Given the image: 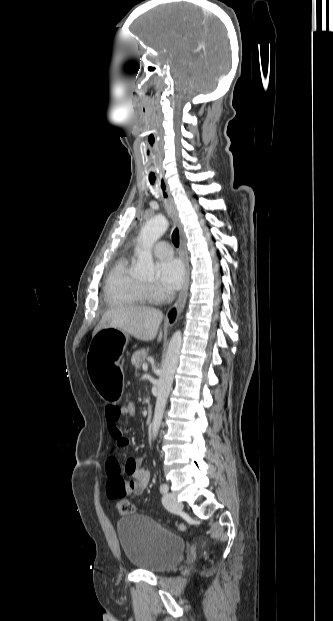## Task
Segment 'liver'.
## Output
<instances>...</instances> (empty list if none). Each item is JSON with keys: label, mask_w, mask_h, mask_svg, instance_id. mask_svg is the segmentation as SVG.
Returning a JSON list of instances; mask_svg holds the SVG:
<instances>
[{"label": "liver", "mask_w": 333, "mask_h": 621, "mask_svg": "<svg viewBox=\"0 0 333 621\" xmlns=\"http://www.w3.org/2000/svg\"><path fill=\"white\" fill-rule=\"evenodd\" d=\"M163 314L145 306H120L106 311L93 332V336L105 328L122 330L142 341L153 340L158 333ZM162 340V331L158 341Z\"/></svg>", "instance_id": "1"}]
</instances>
